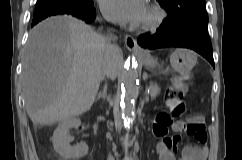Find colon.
<instances>
[{
	"mask_svg": "<svg viewBox=\"0 0 242 160\" xmlns=\"http://www.w3.org/2000/svg\"><path fill=\"white\" fill-rule=\"evenodd\" d=\"M186 92V86L183 79H177L173 86L166 93V104L169 112H160L155 120L153 131L154 133H165L168 126L172 122V118L181 116L185 111V106L182 101V96ZM194 136L195 140L205 141L207 134L205 127L202 124L195 128H190L187 132Z\"/></svg>",
	"mask_w": 242,
	"mask_h": 160,
	"instance_id": "1",
	"label": "colon"
}]
</instances>
